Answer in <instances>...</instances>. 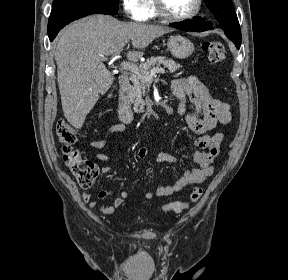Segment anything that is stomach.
I'll return each mask as SVG.
<instances>
[{
    "mask_svg": "<svg viewBox=\"0 0 288 280\" xmlns=\"http://www.w3.org/2000/svg\"><path fill=\"white\" fill-rule=\"evenodd\" d=\"M168 50L178 59H186L194 52V44L189 39L181 36H171L167 42Z\"/></svg>",
    "mask_w": 288,
    "mask_h": 280,
    "instance_id": "1",
    "label": "stomach"
}]
</instances>
